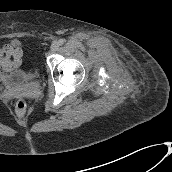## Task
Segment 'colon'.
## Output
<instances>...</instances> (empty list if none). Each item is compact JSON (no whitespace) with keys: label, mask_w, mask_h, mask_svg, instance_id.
I'll return each mask as SVG.
<instances>
[{"label":"colon","mask_w":172,"mask_h":172,"mask_svg":"<svg viewBox=\"0 0 172 172\" xmlns=\"http://www.w3.org/2000/svg\"><path fill=\"white\" fill-rule=\"evenodd\" d=\"M15 108L19 113H23L25 112L26 108H27V104L26 101L24 99H18L15 102Z\"/></svg>","instance_id":"obj_1"}]
</instances>
